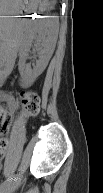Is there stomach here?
Segmentation results:
<instances>
[{"mask_svg":"<svg viewBox=\"0 0 103 193\" xmlns=\"http://www.w3.org/2000/svg\"><path fill=\"white\" fill-rule=\"evenodd\" d=\"M39 2L40 0H0V15L4 25L10 20L9 17L34 12ZM6 44L4 41L3 52L7 49Z\"/></svg>","mask_w":103,"mask_h":193,"instance_id":"obj_1","label":"stomach"}]
</instances>
